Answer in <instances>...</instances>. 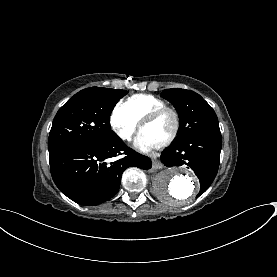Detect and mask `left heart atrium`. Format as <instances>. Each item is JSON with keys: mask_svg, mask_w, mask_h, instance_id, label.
I'll list each match as a JSON object with an SVG mask.
<instances>
[{"mask_svg": "<svg viewBox=\"0 0 277 277\" xmlns=\"http://www.w3.org/2000/svg\"><path fill=\"white\" fill-rule=\"evenodd\" d=\"M158 142L151 139L144 131H141L135 141V146L141 151L157 148Z\"/></svg>", "mask_w": 277, "mask_h": 277, "instance_id": "obj_1", "label": "left heart atrium"}]
</instances>
